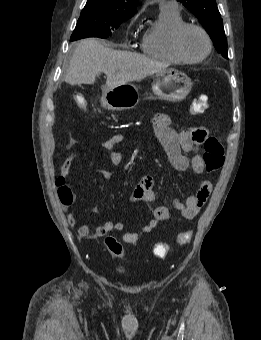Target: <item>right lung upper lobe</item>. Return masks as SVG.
I'll return each mask as SVG.
<instances>
[{
	"label": "right lung upper lobe",
	"instance_id": "cb5924a9",
	"mask_svg": "<svg viewBox=\"0 0 261 340\" xmlns=\"http://www.w3.org/2000/svg\"><path fill=\"white\" fill-rule=\"evenodd\" d=\"M138 0H88L85 7L105 9L122 16L132 17Z\"/></svg>",
	"mask_w": 261,
	"mask_h": 340
}]
</instances>
